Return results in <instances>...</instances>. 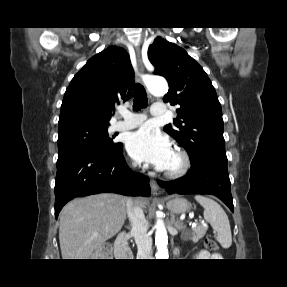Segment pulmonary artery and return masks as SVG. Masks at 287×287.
Segmentation results:
<instances>
[{
	"mask_svg": "<svg viewBox=\"0 0 287 287\" xmlns=\"http://www.w3.org/2000/svg\"><path fill=\"white\" fill-rule=\"evenodd\" d=\"M165 112V106L161 103L153 104L150 111L153 116H164ZM120 115L122 120H119L114 124V129L117 131L133 129L143 124L147 118L145 114H135L125 111H120Z\"/></svg>",
	"mask_w": 287,
	"mask_h": 287,
	"instance_id": "e3ab8cb5",
	"label": "pulmonary artery"
}]
</instances>
